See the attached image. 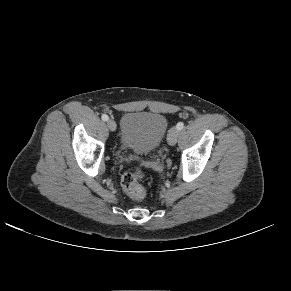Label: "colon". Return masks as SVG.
<instances>
[{"label":"colon","mask_w":291,"mask_h":291,"mask_svg":"<svg viewBox=\"0 0 291 291\" xmlns=\"http://www.w3.org/2000/svg\"><path fill=\"white\" fill-rule=\"evenodd\" d=\"M143 172L136 169L125 173L121 178L124 192L133 200L140 201L146 196V189L142 184Z\"/></svg>","instance_id":"colon-1"}]
</instances>
